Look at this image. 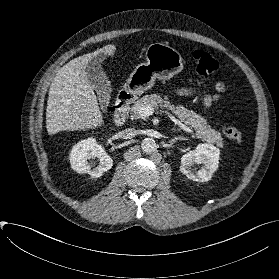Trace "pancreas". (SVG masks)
<instances>
[{"label": "pancreas", "mask_w": 279, "mask_h": 279, "mask_svg": "<svg viewBox=\"0 0 279 279\" xmlns=\"http://www.w3.org/2000/svg\"><path fill=\"white\" fill-rule=\"evenodd\" d=\"M145 106H151L152 108H166L178 118V121L185 123L190 128H193L196 131L197 137L208 143H215L218 146H222L223 139L221 134L215 129H212L210 125L207 124L206 119L194 111H190L179 104L174 105L172 102L168 101L167 98L163 99L157 94H151L145 95L135 102L131 108L132 116L136 119H143L144 116H142L139 111L141 107Z\"/></svg>", "instance_id": "cf45deb5"}]
</instances>
